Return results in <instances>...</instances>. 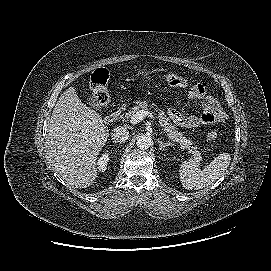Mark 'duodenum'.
<instances>
[{"label":"duodenum","instance_id":"1","mask_svg":"<svg viewBox=\"0 0 271 271\" xmlns=\"http://www.w3.org/2000/svg\"><path fill=\"white\" fill-rule=\"evenodd\" d=\"M122 112H123V107L122 106L116 108L113 112H111L105 118V123L106 124H111V123L115 122L120 117V115L122 114Z\"/></svg>","mask_w":271,"mask_h":271}]
</instances>
